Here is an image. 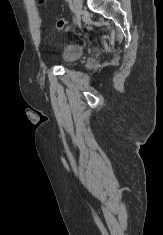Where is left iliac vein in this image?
<instances>
[{
	"label": "left iliac vein",
	"mask_w": 163,
	"mask_h": 235,
	"mask_svg": "<svg viewBox=\"0 0 163 235\" xmlns=\"http://www.w3.org/2000/svg\"><path fill=\"white\" fill-rule=\"evenodd\" d=\"M73 7L78 17L82 14L83 3L82 0H73Z\"/></svg>",
	"instance_id": "left-iliac-vein-1"
}]
</instances>
